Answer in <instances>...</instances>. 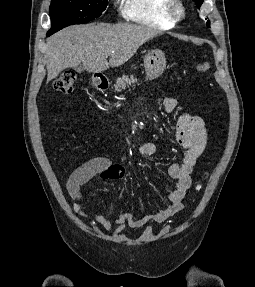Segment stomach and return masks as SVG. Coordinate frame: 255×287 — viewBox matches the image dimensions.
<instances>
[{"mask_svg":"<svg viewBox=\"0 0 255 287\" xmlns=\"http://www.w3.org/2000/svg\"><path fill=\"white\" fill-rule=\"evenodd\" d=\"M144 68L147 80L162 76L166 68V58L162 50H151L144 58Z\"/></svg>","mask_w":255,"mask_h":287,"instance_id":"obj_1","label":"stomach"}]
</instances>
